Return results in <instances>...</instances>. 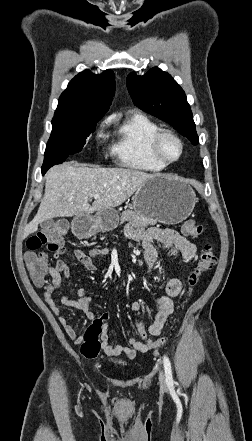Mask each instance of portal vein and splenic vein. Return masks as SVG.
I'll list each match as a JSON object with an SVG mask.
<instances>
[{
  "instance_id": "18ae733b",
  "label": "portal vein and splenic vein",
  "mask_w": 252,
  "mask_h": 441,
  "mask_svg": "<svg viewBox=\"0 0 252 441\" xmlns=\"http://www.w3.org/2000/svg\"><path fill=\"white\" fill-rule=\"evenodd\" d=\"M93 198H95V199L100 198V195L99 194H94Z\"/></svg>"
}]
</instances>
